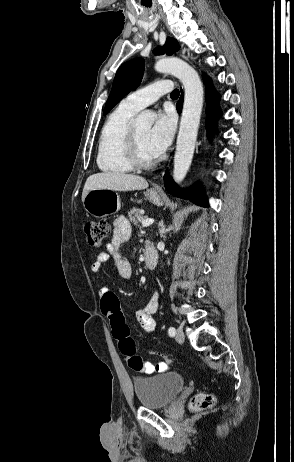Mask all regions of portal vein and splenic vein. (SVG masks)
<instances>
[{"label": "portal vein and splenic vein", "instance_id": "18ae733b", "mask_svg": "<svg viewBox=\"0 0 294 462\" xmlns=\"http://www.w3.org/2000/svg\"><path fill=\"white\" fill-rule=\"evenodd\" d=\"M154 220L153 219H145L142 221V226L143 227H148L150 226L151 224H153Z\"/></svg>", "mask_w": 294, "mask_h": 462}]
</instances>
